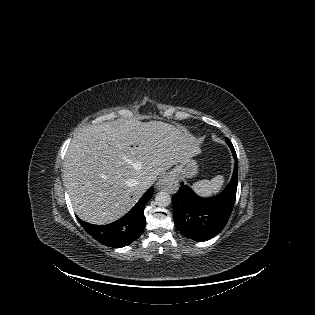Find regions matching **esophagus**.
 I'll return each instance as SVG.
<instances>
[{
    "mask_svg": "<svg viewBox=\"0 0 315 315\" xmlns=\"http://www.w3.org/2000/svg\"><path fill=\"white\" fill-rule=\"evenodd\" d=\"M179 184L176 177L171 173H166L160 177L157 182L159 190H165L170 193H175L178 190Z\"/></svg>",
    "mask_w": 315,
    "mask_h": 315,
    "instance_id": "34e87169",
    "label": "esophagus"
}]
</instances>
